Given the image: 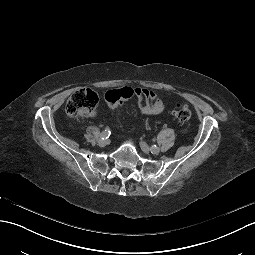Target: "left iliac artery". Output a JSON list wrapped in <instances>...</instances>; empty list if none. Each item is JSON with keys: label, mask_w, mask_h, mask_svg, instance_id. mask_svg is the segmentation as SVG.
Returning <instances> with one entry per match:
<instances>
[{"label": "left iliac artery", "mask_w": 255, "mask_h": 255, "mask_svg": "<svg viewBox=\"0 0 255 255\" xmlns=\"http://www.w3.org/2000/svg\"><path fill=\"white\" fill-rule=\"evenodd\" d=\"M155 148H158L156 145H153L152 147H151V149H155Z\"/></svg>", "instance_id": "1"}]
</instances>
